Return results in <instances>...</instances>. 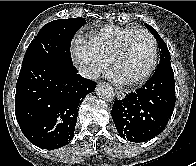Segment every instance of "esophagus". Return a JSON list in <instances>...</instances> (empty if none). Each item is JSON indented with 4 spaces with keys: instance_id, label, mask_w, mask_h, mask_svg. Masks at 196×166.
<instances>
[{
    "instance_id": "34e87169",
    "label": "esophagus",
    "mask_w": 196,
    "mask_h": 166,
    "mask_svg": "<svg viewBox=\"0 0 196 166\" xmlns=\"http://www.w3.org/2000/svg\"><path fill=\"white\" fill-rule=\"evenodd\" d=\"M116 95L119 99H123L125 97V92L122 90H116Z\"/></svg>"
}]
</instances>
